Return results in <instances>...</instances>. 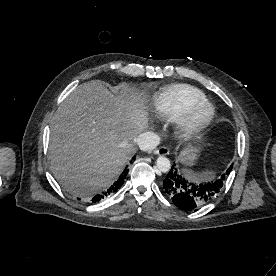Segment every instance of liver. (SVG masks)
<instances>
[{"instance_id": "6515ba94", "label": "liver", "mask_w": 276, "mask_h": 276, "mask_svg": "<svg viewBox=\"0 0 276 276\" xmlns=\"http://www.w3.org/2000/svg\"><path fill=\"white\" fill-rule=\"evenodd\" d=\"M147 127L146 98L135 87L121 84L113 94L99 80L79 85L53 117L49 150L54 177L75 196L108 188Z\"/></svg>"}]
</instances>
